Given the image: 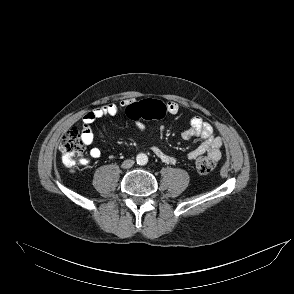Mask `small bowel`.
<instances>
[{
	"label": "small bowel",
	"instance_id": "small-bowel-1",
	"mask_svg": "<svg viewBox=\"0 0 294 294\" xmlns=\"http://www.w3.org/2000/svg\"><path fill=\"white\" fill-rule=\"evenodd\" d=\"M129 104L130 102L127 101L122 102L119 106L116 104H107L101 107H97L85 114L81 127L84 143L86 145H90L93 142L91 125L96 120L106 116H115L119 113L121 107H127ZM166 106L168 108L169 114H176L179 110L178 105L174 102H168ZM139 129L142 133L145 132V127L142 124L139 125ZM181 136L186 140L193 137H198L200 140L198 146L185 155L187 159L195 160L204 154L213 157L215 160H219L221 158V148L223 144L222 139L218 136H215L213 127L208 122H205L201 117H193L190 120V126L182 132ZM151 151L158 159L166 164H175L178 161L176 156L167 154L157 145H152ZM89 156L92 159H98L101 156V151L98 148L93 147L89 151ZM82 163L88 164L89 159H83Z\"/></svg>",
	"mask_w": 294,
	"mask_h": 294
}]
</instances>
